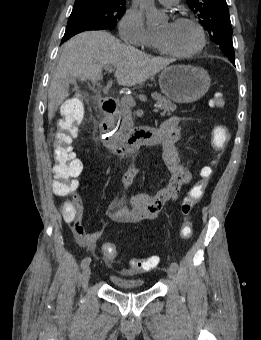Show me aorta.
I'll return each instance as SVG.
<instances>
[{
    "label": "aorta",
    "mask_w": 261,
    "mask_h": 340,
    "mask_svg": "<svg viewBox=\"0 0 261 340\" xmlns=\"http://www.w3.org/2000/svg\"><path fill=\"white\" fill-rule=\"evenodd\" d=\"M140 8L146 16L148 27L158 26L165 18L155 7L154 0H140Z\"/></svg>",
    "instance_id": "1"
}]
</instances>
